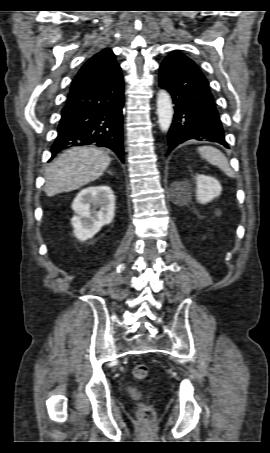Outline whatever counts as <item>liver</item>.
I'll return each instance as SVG.
<instances>
[{"mask_svg":"<svg viewBox=\"0 0 270 453\" xmlns=\"http://www.w3.org/2000/svg\"><path fill=\"white\" fill-rule=\"evenodd\" d=\"M111 162L101 148L73 147L49 164L44 192L48 197L69 192L98 179Z\"/></svg>","mask_w":270,"mask_h":453,"instance_id":"obj_1","label":"liver"}]
</instances>
